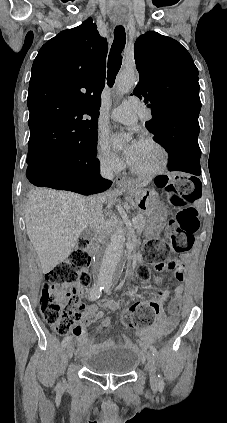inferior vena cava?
<instances>
[{"instance_id": "602c4592", "label": "inferior vena cava", "mask_w": 227, "mask_h": 423, "mask_svg": "<svg viewBox=\"0 0 227 423\" xmlns=\"http://www.w3.org/2000/svg\"><path fill=\"white\" fill-rule=\"evenodd\" d=\"M113 162H115L113 154H110L106 160H101L100 174L103 178H107V180H113L114 178L112 168ZM86 206L87 208H90V215H93L90 219V225H93L94 229H101L98 223V213L101 211L100 202H96V204H94L93 200H90Z\"/></svg>"}]
</instances>
